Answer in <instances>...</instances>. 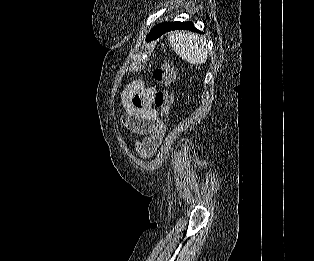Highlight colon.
Wrapping results in <instances>:
<instances>
[{"mask_svg": "<svg viewBox=\"0 0 314 261\" xmlns=\"http://www.w3.org/2000/svg\"><path fill=\"white\" fill-rule=\"evenodd\" d=\"M176 77L175 68L168 62L163 61L154 71L153 80L160 88L154 95V104L160 110L163 119L168 118L169 110L173 101V96L169 86Z\"/></svg>", "mask_w": 314, "mask_h": 261, "instance_id": "1", "label": "colon"}]
</instances>
